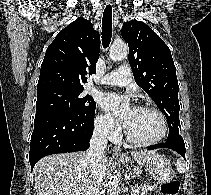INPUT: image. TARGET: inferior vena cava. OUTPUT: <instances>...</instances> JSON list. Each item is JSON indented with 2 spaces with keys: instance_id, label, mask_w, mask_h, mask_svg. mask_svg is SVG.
Returning a JSON list of instances; mask_svg holds the SVG:
<instances>
[{
  "instance_id": "inferior-vena-cava-1",
  "label": "inferior vena cava",
  "mask_w": 211,
  "mask_h": 195,
  "mask_svg": "<svg viewBox=\"0 0 211 195\" xmlns=\"http://www.w3.org/2000/svg\"><path fill=\"white\" fill-rule=\"evenodd\" d=\"M111 130V121L97 124L94 128V133L90 140V147L85 155L91 168L86 195H101V187L104 177L102 165L103 151L107 147V136Z\"/></svg>"
}]
</instances>
